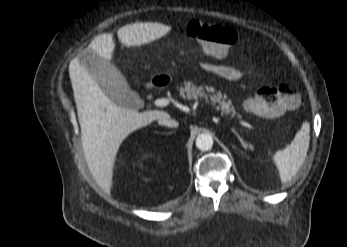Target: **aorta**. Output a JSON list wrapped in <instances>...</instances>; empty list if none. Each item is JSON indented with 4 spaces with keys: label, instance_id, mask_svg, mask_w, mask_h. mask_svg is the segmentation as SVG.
Returning a JSON list of instances; mask_svg holds the SVG:
<instances>
[{
    "label": "aorta",
    "instance_id": "762f6f07",
    "mask_svg": "<svg viewBox=\"0 0 347 247\" xmlns=\"http://www.w3.org/2000/svg\"><path fill=\"white\" fill-rule=\"evenodd\" d=\"M213 146V138L210 134H200L196 139V147L201 151H208Z\"/></svg>",
    "mask_w": 347,
    "mask_h": 247
}]
</instances>
